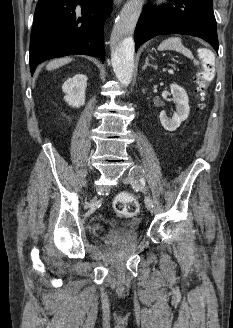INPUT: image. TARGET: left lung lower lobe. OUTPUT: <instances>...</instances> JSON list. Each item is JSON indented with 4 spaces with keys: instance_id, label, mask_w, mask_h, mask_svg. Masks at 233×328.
I'll list each match as a JSON object with an SVG mask.
<instances>
[{
    "instance_id": "1",
    "label": "left lung lower lobe",
    "mask_w": 233,
    "mask_h": 328,
    "mask_svg": "<svg viewBox=\"0 0 233 328\" xmlns=\"http://www.w3.org/2000/svg\"><path fill=\"white\" fill-rule=\"evenodd\" d=\"M166 7L145 6L134 32L139 45L160 34H186L206 40L218 51L212 0H169Z\"/></svg>"
}]
</instances>
